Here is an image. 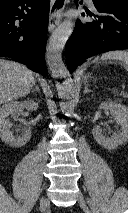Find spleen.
Returning a JSON list of instances; mask_svg holds the SVG:
<instances>
[{"label":"spleen","instance_id":"obj_1","mask_svg":"<svg viewBox=\"0 0 128 213\" xmlns=\"http://www.w3.org/2000/svg\"><path fill=\"white\" fill-rule=\"evenodd\" d=\"M98 60L106 61V60H119L122 61L125 65V69L128 71V51H110L102 54L99 58L95 59L97 63Z\"/></svg>","mask_w":128,"mask_h":213}]
</instances>
